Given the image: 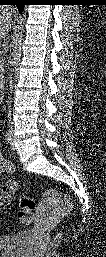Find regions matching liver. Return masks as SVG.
<instances>
[{
	"instance_id": "6515ba94",
	"label": "liver",
	"mask_w": 106,
	"mask_h": 257,
	"mask_svg": "<svg viewBox=\"0 0 106 257\" xmlns=\"http://www.w3.org/2000/svg\"><path fill=\"white\" fill-rule=\"evenodd\" d=\"M11 13L10 7L2 6L0 8V34L4 37L10 30L11 27Z\"/></svg>"
}]
</instances>
